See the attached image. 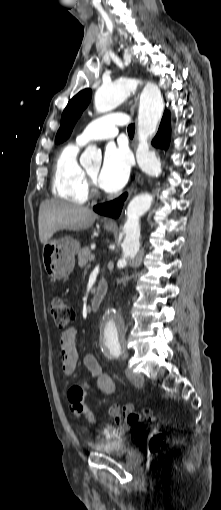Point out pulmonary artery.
Returning <instances> with one entry per match:
<instances>
[{"label":"pulmonary artery","instance_id":"1","mask_svg":"<svg viewBox=\"0 0 221 510\" xmlns=\"http://www.w3.org/2000/svg\"><path fill=\"white\" fill-rule=\"evenodd\" d=\"M128 118L120 113H112L102 116L90 122L77 136L76 141L80 145L103 139H111L117 136L118 128L128 124Z\"/></svg>","mask_w":221,"mask_h":510}]
</instances>
